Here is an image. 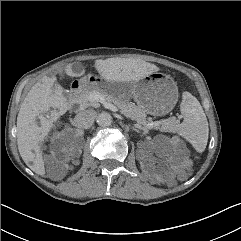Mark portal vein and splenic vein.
Segmentation results:
<instances>
[{
    "label": "portal vein and splenic vein",
    "instance_id": "obj_1",
    "mask_svg": "<svg viewBox=\"0 0 241 241\" xmlns=\"http://www.w3.org/2000/svg\"><path fill=\"white\" fill-rule=\"evenodd\" d=\"M91 99L93 101H97V102H101L103 103V105L107 108V109H110L112 111H118V108L116 106H114L113 104H110V103H107L105 101V98L100 95V94H93L91 95ZM163 122V120H160V121H155V122H149V123H146V124H142L145 128H148V129H151V128H154V127H158L159 125H161Z\"/></svg>",
    "mask_w": 241,
    "mask_h": 241
}]
</instances>
